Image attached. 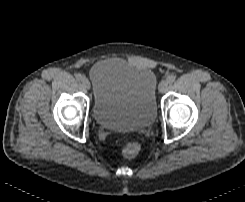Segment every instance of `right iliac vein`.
Listing matches in <instances>:
<instances>
[{
    "instance_id": "1",
    "label": "right iliac vein",
    "mask_w": 245,
    "mask_h": 202,
    "mask_svg": "<svg viewBox=\"0 0 245 202\" xmlns=\"http://www.w3.org/2000/svg\"><path fill=\"white\" fill-rule=\"evenodd\" d=\"M82 85L86 88V89H90V82L87 78L83 77L82 78Z\"/></svg>"
}]
</instances>
